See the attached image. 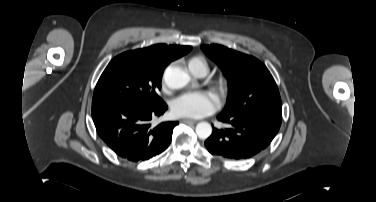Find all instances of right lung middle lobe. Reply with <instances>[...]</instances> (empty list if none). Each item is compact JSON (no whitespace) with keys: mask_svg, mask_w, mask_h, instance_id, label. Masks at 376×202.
Listing matches in <instances>:
<instances>
[{"mask_svg":"<svg viewBox=\"0 0 376 202\" xmlns=\"http://www.w3.org/2000/svg\"><path fill=\"white\" fill-rule=\"evenodd\" d=\"M161 73H153L135 51L116 56L102 73L92 100V106L111 100L156 103L162 99Z\"/></svg>","mask_w":376,"mask_h":202,"instance_id":"dd1d6c3e","label":"right lung middle lobe"}]
</instances>
